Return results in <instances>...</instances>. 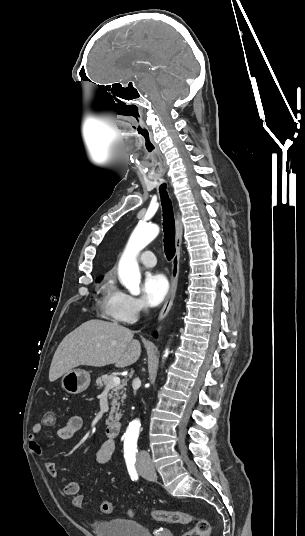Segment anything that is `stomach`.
<instances>
[{
  "mask_svg": "<svg viewBox=\"0 0 305 536\" xmlns=\"http://www.w3.org/2000/svg\"><path fill=\"white\" fill-rule=\"evenodd\" d=\"M90 384V374L85 370H70L61 378V386L68 394H81Z\"/></svg>",
  "mask_w": 305,
  "mask_h": 536,
  "instance_id": "obj_1",
  "label": "stomach"
}]
</instances>
